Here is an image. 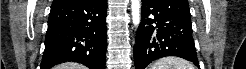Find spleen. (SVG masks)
I'll list each match as a JSON object with an SVG mask.
<instances>
[{"mask_svg": "<svg viewBox=\"0 0 246 69\" xmlns=\"http://www.w3.org/2000/svg\"><path fill=\"white\" fill-rule=\"evenodd\" d=\"M151 69H195L194 66L184 59L177 57H165L154 63Z\"/></svg>", "mask_w": 246, "mask_h": 69, "instance_id": "1", "label": "spleen"}]
</instances>
